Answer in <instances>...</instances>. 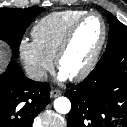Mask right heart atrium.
Wrapping results in <instances>:
<instances>
[{
    "mask_svg": "<svg viewBox=\"0 0 127 127\" xmlns=\"http://www.w3.org/2000/svg\"><path fill=\"white\" fill-rule=\"evenodd\" d=\"M19 55L28 75L35 81H43L53 67V61L46 56L34 41L22 39Z\"/></svg>",
    "mask_w": 127,
    "mask_h": 127,
    "instance_id": "1",
    "label": "right heart atrium"
}]
</instances>
